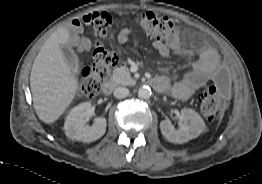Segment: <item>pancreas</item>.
Segmentation results:
<instances>
[{
	"label": "pancreas",
	"instance_id": "1",
	"mask_svg": "<svg viewBox=\"0 0 262 184\" xmlns=\"http://www.w3.org/2000/svg\"><path fill=\"white\" fill-rule=\"evenodd\" d=\"M111 80L115 85L126 86L135 83V80L130 75L129 69L125 66L114 68Z\"/></svg>",
	"mask_w": 262,
	"mask_h": 184
}]
</instances>
